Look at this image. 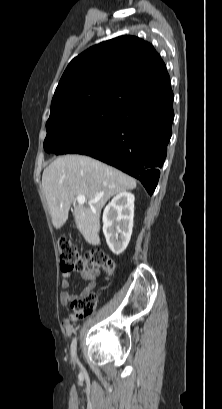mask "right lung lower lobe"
Wrapping results in <instances>:
<instances>
[{"label":"right lung lower lobe","instance_id":"98d812e1","mask_svg":"<svg viewBox=\"0 0 222 409\" xmlns=\"http://www.w3.org/2000/svg\"><path fill=\"white\" fill-rule=\"evenodd\" d=\"M170 81L169 75L165 78ZM173 92L118 105L101 146L87 155L137 178L152 195L172 134Z\"/></svg>","mask_w":222,"mask_h":409}]
</instances>
